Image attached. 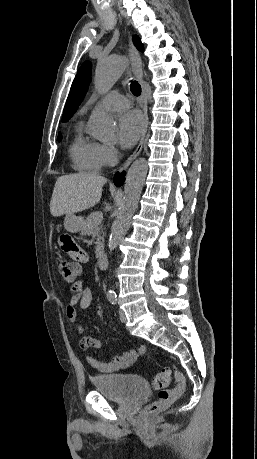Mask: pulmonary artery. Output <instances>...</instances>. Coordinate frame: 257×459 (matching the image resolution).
Segmentation results:
<instances>
[{
    "mask_svg": "<svg viewBox=\"0 0 257 459\" xmlns=\"http://www.w3.org/2000/svg\"><path fill=\"white\" fill-rule=\"evenodd\" d=\"M127 98L118 91H111L105 95L97 104L96 107L108 111H121L128 107Z\"/></svg>",
    "mask_w": 257,
    "mask_h": 459,
    "instance_id": "obj_1",
    "label": "pulmonary artery"
}]
</instances>
